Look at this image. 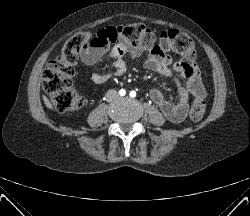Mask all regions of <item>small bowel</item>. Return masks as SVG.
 <instances>
[{"mask_svg": "<svg viewBox=\"0 0 250 216\" xmlns=\"http://www.w3.org/2000/svg\"><path fill=\"white\" fill-rule=\"evenodd\" d=\"M142 53V48L131 47L124 42H119L110 49L88 47L81 51V60L86 66L92 67L106 54L112 59L113 71L111 73H100L95 70L90 72L91 81L103 85L113 77H120L126 73V58L136 59ZM144 64L147 69L172 79L176 85V101L166 99L158 89H152L150 92V98L160 107L169 121L174 123L183 121L189 109L190 99L205 97V88L196 65L185 60L174 62L173 57L166 53L163 44L156 43L151 50H148Z\"/></svg>", "mask_w": 250, "mask_h": 216, "instance_id": "1", "label": "small bowel"}]
</instances>
